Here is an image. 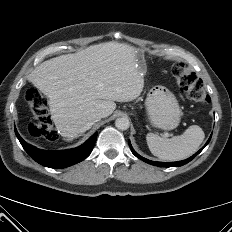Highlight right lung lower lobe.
Masks as SVG:
<instances>
[{"label": "right lung lower lobe", "mask_w": 232, "mask_h": 232, "mask_svg": "<svg viewBox=\"0 0 232 232\" xmlns=\"http://www.w3.org/2000/svg\"><path fill=\"white\" fill-rule=\"evenodd\" d=\"M15 134L24 150L36 162L50 168L68 167L87 158L90 155L97 138V133H95L88 141L78 148L62 151H45L26 143L16 130Z\"/></svg>", "instance_id": "right-lung-lower-lobe-1"}]
</instances>
